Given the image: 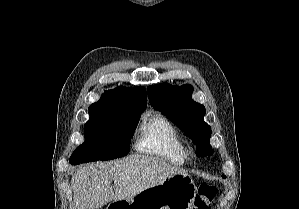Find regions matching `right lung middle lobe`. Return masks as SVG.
<instances>
[{"mask_svg": "<svg viewBox=\"0 0 299 209\" xmlns=\"http://www.w3.org/2000/svg\"><path fill=\"white\" fill-rule=\"evenodd\" d=\"M140 113H91L84 126L85 142L71 155L73 165L123 157L130 151Z\"/></svg>", "mask_w": 299, "mask_h": 209, "instance_id": "1", "label": "right lung middle lobe"}]
</instances>
